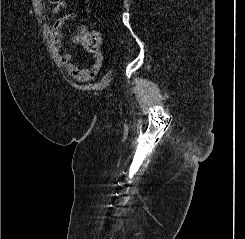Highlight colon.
<instances>
[{
    "instance_id": "5ec220e1",
    "label": "colon",
    "mask_w": 245,
    "mask_h": 239,
    "mask_svg": "<svg viewBox=\"0 0 245 239\" xmlns=\"http://www.w3.org/2000/svg\"><path fill=\"white\" fill-rule=\"evenodd\" d=\"M51 3H55L57 2V0H49ZM84 44V46L90 50V51H94L99 43V38L95 33H91L88 34L86 36H84L81 40Z\"/></svg>"
}]
</instances>
